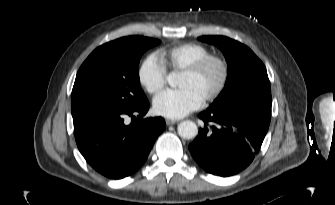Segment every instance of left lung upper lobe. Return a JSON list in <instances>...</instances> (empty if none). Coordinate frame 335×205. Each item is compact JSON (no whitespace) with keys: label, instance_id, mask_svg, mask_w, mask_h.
<instances>
[{"label":"left lung upper lobe","instance_id":"left-lung-upper-lobe-1","mask_svg":"<svg viewBox=\"0 0 335 205\" xmlns=\"http://www.w3.org/2000/svg\"><path fill=\"white\" fill-rule=\"evenodd\" d=\"M216 45L224 54L228 77L224 89L209 109L251 107L271 113V88L266 68L245 45L225 36L198 38Z\"/></svg>","mask_w":335,"mask_h":205}]
</instances>
